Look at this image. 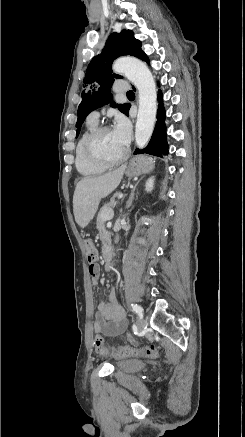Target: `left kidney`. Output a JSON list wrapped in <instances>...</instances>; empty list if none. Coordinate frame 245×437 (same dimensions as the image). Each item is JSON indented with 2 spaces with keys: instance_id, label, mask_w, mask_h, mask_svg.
<instances>
[{
  "instance_id": "left-kidney-1",
  "label": "left kidney",
  "mask_w": 245,
  "mask_h": 437,
  "mask_svg": "<svg viewBox=\"0 0 245 437\" xmlns=\"http://www.w3.org/2000/svg\"><path fill=\"white\" fill-rule=\"evenodd\" d=\"M153 186H154V177H151L146 182V185H145L146 191L151 192L153 190Z\"/></svg>"
}]
</instances>
